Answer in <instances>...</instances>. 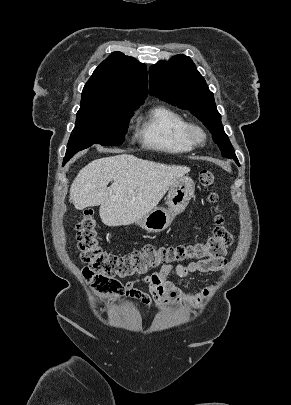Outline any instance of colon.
<instances>
[{"label":"colon","mask_w":291,"mask_h":405,"mask_svg":"<svg viewBox=\"0 0 291 405\" xmlns=\"http://www.w3.org/2000/svg\"><path fill=\"white\" fill-rule=\"evenodd\" d=\"M199 181L202 186L211 188L215 185L216 176L210 170H202ZM209 201L217 202V193L211 192ZM75 230L81 260L86 263L84 278L95 291L112 297L123 294L120 278L145 274L156 267L186 260L221 259L233 241L221 215L215 217L213 232L205 241L173 245L146 244L124 255L103 250L92 210H85Z\"/></svg>","instance_id":"obj_1"}]
</instances>
